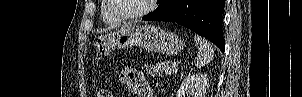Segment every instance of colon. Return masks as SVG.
<instances>
[{
    "label": "colon",
    "mask_w": 302,
    "mask_h": 97,
    "mask_svg": "<svg viewBox=\"0 0 302 97\" xmlns=\"http://www.w3.org/2000/svg\"><path fill=\"white\" fill-rule=\"evenodd\" d=\"M98 97H110V93L106 90H101L99 93H98Z\"/></svg>",
    "instance_id": "obj_1"
}]
</instances>
